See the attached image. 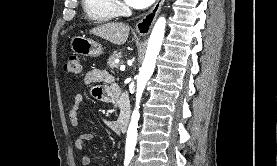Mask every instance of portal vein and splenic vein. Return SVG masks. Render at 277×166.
<instances>
[{
  "label": "portal vein and splenic vein",
  "instance_id": "1",
  "mask_svg": "<svg viewBox=\"0 0 277 166\" xmlns=\"http://www.w3.org/2000/svg\"><path fill=\"white\" fill-rule=\"evenodd\" d=\"M120 70H122V71L125 70V66H124V65H121V66H120Z\"/></svg>",
  "mask_w": 277,
  "mask_h": 166
}]
</instances>
